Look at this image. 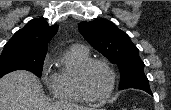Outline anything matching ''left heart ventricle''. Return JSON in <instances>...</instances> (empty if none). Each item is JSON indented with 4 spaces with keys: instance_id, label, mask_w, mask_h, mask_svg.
Segmentation results:
<instances>
[{
    "instance_id": "obj_1",
    "label": "left heart ventricle",
    "mask_w": 171,
    "mask_h": 110,
    "mask_svg": "<svg viewBox=\"0 0 171 110\" xmlns=\"http://www.w3.org/2000/svg\"><path fill=\"white\" fill-rule=\"evenodd\" d=\"M110 84V74L103 65L95 64L88 70L85 85L92 95L99 96L106 93Z\"/></svg>"
}]
</instances>
